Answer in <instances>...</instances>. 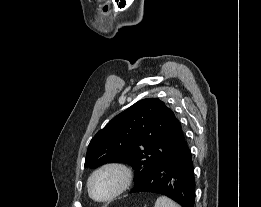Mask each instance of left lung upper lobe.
I'll return each instance as SVG.
<instances>
[{"label":"left lung upper lobe","instance_id":"left-lung-upper-lobe-1","mask_svg":"<svg viewBox=\"0 0 261 207\" xmlns=\"http://www.w3.org/2000/svg\"><path fill=\"white\" fill-rule=\"evenodd\" d=\"M184 139L179 120L158 98L142 99L114 117L90 141L85 167L108 162L135 169L134 184L176 152Z\"/></svg>","mask_w":261,"mask_h":207}]
</instances>
